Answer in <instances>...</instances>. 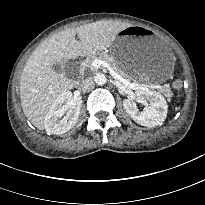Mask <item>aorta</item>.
Masks as SVG:
<instances>
[{"label": "aorta", "instance_id": "1", "mask_svg": "<svg viewBox=\"0 0 205 205\" xmlns=\"http://www.w3.org/2000/svg\"><path fill=\"white\" fill-rule=\"evenodd\" d=\"M94 81L98 85H104L106 83V81H107V78H106V76L103 73H97L94 76Z\"/></svg>", "mask_w": 205, "mask_h": 205}]
</instances>
